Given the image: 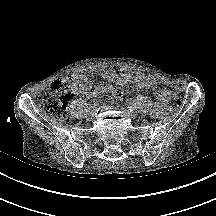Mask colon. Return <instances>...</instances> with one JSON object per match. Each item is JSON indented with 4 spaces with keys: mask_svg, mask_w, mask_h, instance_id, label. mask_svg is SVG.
Segmentation results:
<instances>
[{
    "mask_svg": "<svg viewBox=\"0 0 216 216\" xmlns=\"http://www.w3.org/2000/svg\"><path fill=\"white\" fill-rule=\"evenodd\" d=\"M82 80V76L76 73H70L57 79L52 87V96L45 99L42 104V110L49 116L64 120L66 118L67 102L74 87ZM169 107L177 111L181 107L180 98L173 92L168 91Z\"/></svg>",
    "mask_w": 216,
    "mask_h": 216,
    "instance_id": "colon-1",
    "label": "colon"
}]
</instances>
